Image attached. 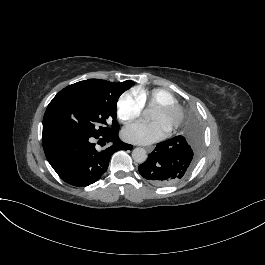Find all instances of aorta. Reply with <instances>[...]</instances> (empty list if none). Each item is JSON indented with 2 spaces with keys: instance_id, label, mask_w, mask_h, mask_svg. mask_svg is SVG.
<instances>
[{
  "instance_id": "aorta-1",
  "label": "aorta",
  "mask_w": 265,
  "mask_h": 265,
  "mask_svg": "<svg viewBox=\"0 0 265 265\" xmlns=\"http://www.w3.org/2000/svg\"><path fill=\"white\" fill-rule=\"evenodd\" d=\"M132 158L137 163H144L147 159V153L143 148H135L132 151Z\"/></svg>"
}]
</instances>
